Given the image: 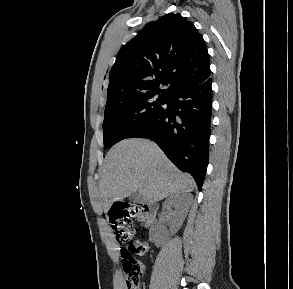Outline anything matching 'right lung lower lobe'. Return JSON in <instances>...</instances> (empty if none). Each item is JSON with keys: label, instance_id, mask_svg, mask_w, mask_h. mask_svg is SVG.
I'll list each match as a JSON object with an SVG mask.
<instances>
[{"label": "right lung lower lobe", "instance_id": "98d812e1", "mask_svg": "<svg viewBox=\"0 0 293 289\" xmlns=\"http://www.w3.org/2000/svg\"><path fill=\"white\" fill-rule=\"evenodd\" d=\"M211 78L170 94L163 106L128 138H148L201 189L209 159Z\"/></svg>", "mask_w": 293, "mask_h": 289}]
</instances>
